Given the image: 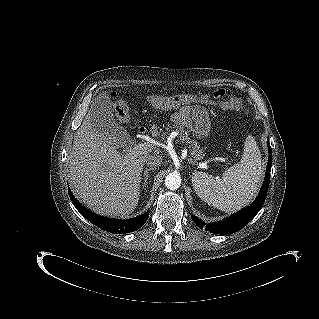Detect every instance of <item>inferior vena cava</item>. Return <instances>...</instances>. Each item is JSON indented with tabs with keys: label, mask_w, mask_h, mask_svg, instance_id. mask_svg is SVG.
<instances>
[{
	"label": "inferior vena cava",
	"mask_w": 319,
	"mask_h": 319,
	"mask_svg": "<svg viewBox=\"0 0 319 319\" xmlns=\"http://www.w3.org/2000/svg\"><path fill=\"white\" fill-rule=\"evenodd\" d=\"M146 164L151 168L159 167L162 164V157L160 155H150L146 159Z\"/></svg>",
	"instance_id": "obj_1"
}]
</instances>
